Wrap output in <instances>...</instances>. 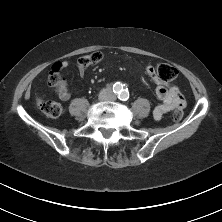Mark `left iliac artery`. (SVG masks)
Segmentation results:
<instances>
[{
	"label": "left iliac artery",
	"mask_w": 222,
	"mask_h": 222,
	"mask_svg": "<svg viewBox=\"0 0 222 222\" xmlns=\"http://www.w3.org/2000/svg\"><path fill=\"white\" fill-rule=\"evenodd\" d=\"M128 98H129L128 90L121 91V93L119 94V99L122 100V101H127Z\"/></svg>",
	"instance_id": "left-iliac-artery-1"
}]
</instances>
